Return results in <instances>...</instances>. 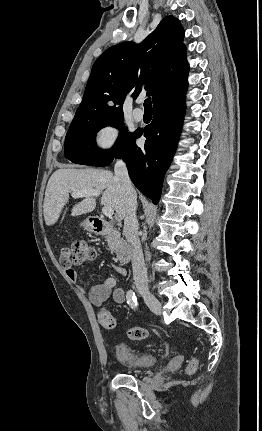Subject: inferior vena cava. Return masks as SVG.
Instances as JSON below:
<instances>
[{
    "mask_svg": "<svg viewBox=\"0 0 262 431\" xmlns=\"http://www.w3.org/2000/svg\"><path fill=\"white\" fill-rule=\"evenodd\" d=\"M115 178L121 184L126 196V208L124 216L123 233L132 248V270L133 279L137 288L148 289L147 270L145 267L141 243L138 238V220L136 217L137 197L128 175L126 164L123 160H117L115 167Z\"/></svg>",
    "mask_w": 262,
    "mask_h": 431,
    "instance_id": "inferior-vena-cava-1",
    "label": "inferior vena cava"
}]
</instances>
